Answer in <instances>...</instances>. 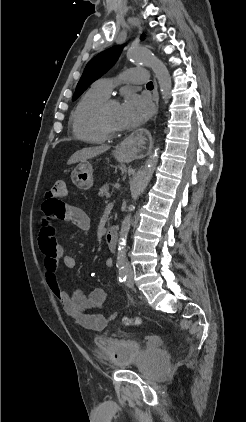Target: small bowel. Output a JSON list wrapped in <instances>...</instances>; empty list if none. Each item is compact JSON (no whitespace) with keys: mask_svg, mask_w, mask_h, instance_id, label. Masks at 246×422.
Segmentation results:
<instances>
[{"mask_svg":"<svg viewBox=\"0 0 246 422\" xmlns=\"http://www.w3.org/2000/svg\"><path fill=\"white\" fill-rule=\"evenodd\" d=\"M43 218L39 231V245L44 256L45 277L47 284L61 303L65 313L80 326L102 331L109 321L114 320L118 313L114 312L106 317L101 313L92 312L100 309L107 299V292L101 287L91 289L88 293L76 290L67 293L60 284L58 264L62 260L67 268L76 266V257L67 254L55 237V222L68 221L84 232L89 231L90 222L85 212L74 205L63 203L59 208L51 210L45 202L42 206ZM108 268L113 267L110 258L106 259Z\"/></svg>","mask_w":246,"mask_h":422,"instance_id":"small-bowel-1","label":"small bowel"}]
</instances>
